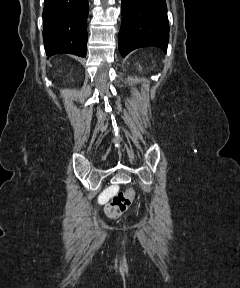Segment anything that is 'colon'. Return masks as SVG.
Here are the masks:
<instances>
[{"label": "colon", "mask_w": 240, "mask_h": 288, "mask_svg": "<svg viewBox=\"0 0 240 288\" xmlns=\"http://www.w3.org/2000/svg\"><path fill=\"white\" fill-rule=\"evenodd\" d=\"M135 192L132 188L116 194L106 206V214L110 218L120 217L134 200Z\"/></svg>", "instance_id": "obj_1"}]
</instances>
